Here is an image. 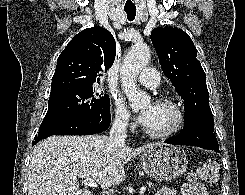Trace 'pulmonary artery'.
<instances>
[{
  "instance_id": "1",
  "label": "pulmonary artery",
  "mask_w": 245,
  "mask_h": 195,
  "mask_svg": "<svg viewBox=\"0 0 245 195\" xmlns=\"http://www.w3.org/2000/svg\"><path fill=\"white\" fill-rule=\"evenodd\" d=\"M138 81L141 85L155 88L160 81L159 75L154 68H145L141 71Z\"/></svg>"
}]
</instances>
